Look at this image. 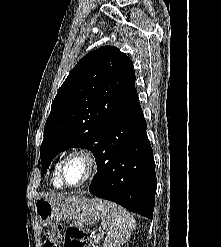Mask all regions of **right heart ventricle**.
I'll return each mask as SVG.
<instances>
[{"label":"right heart ventricle","instance_id":"e07e8e85","mask_svg":"<svg viewBox=\"0 0 221 247\" xmlns=\"http://www.w3.org/2000/svg\"><path fill=\"white\" fill-rule=\"evenodd\" d=\"M59 169H60V163L58 162V163H56L55 168H54L52 183L56 188L61 189V188H63V184H62L60 177H59Z\"/></svg>","mask_w":221,"mask_h":247}]
</instances>
